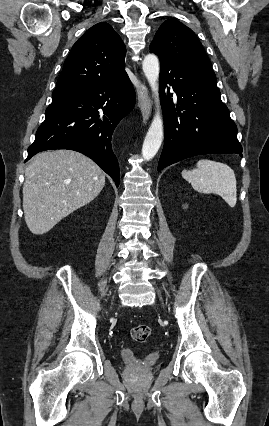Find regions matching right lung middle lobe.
<instances>
[{"label":"right lung middle lobe","instance_id":"obj_1","mask_svg":"<svg viewBox=\"0 0 269 426\" xmlns=\"http://www.w3.org/2000/svg\"><path fill=\"white\" fill-rule=\"evenodd\" d=\"M69 92H53L52 93V103L65 98Z\"/></svg>","mask_w":269,"mask_h":426}]
</instances>
